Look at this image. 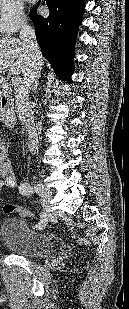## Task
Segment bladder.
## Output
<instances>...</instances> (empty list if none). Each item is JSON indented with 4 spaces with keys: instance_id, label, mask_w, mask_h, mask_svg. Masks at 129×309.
<instances>
[{
    "instance_id": "bladder-1",
    "label": "bladder",
    "mask_w": 129,
    "mask_h": 309,
    "mask_svg": "<svg viewBox=\"0 0 129 309\" xmlns=\"http://www.w3.org/2000/svg\"><path fill=\"white\" fill-rule=\"evenodd\" d=\"M0 239L7 249L24 257H37L52 247V240L47 234L34 230L21 217L11 216L2 220Z\"/></svg>"
}]
</instances>
